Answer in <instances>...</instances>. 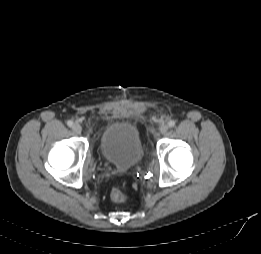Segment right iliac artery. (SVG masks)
Wrapping results in <instances>:
<instances>
[{
    "label": "right iliac artery",
    "instance_id": "1",
    "mask_svg": "<svg viewBox=\"0 0 261 254\" xmlns=\"http://www.w3.org/2000/svg\"><path fill=\"white\" fill-rule=\"evenodd\" d=\"M67 125H68L69 127H72V126H73V122H72L71 120H68V121H67Z\"/></svg>",
    "mask_w": 261,
    "mask_h": 254
}]
</instances>
